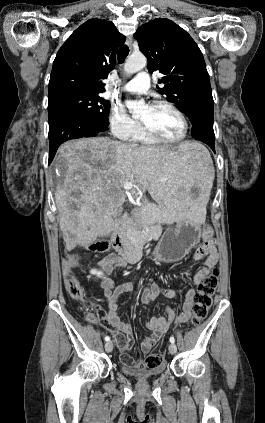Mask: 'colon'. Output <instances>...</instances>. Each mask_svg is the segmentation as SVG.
Wrapping results in <instances>:
<instances>
[{"mask_svg": "<svg viewBox=\"0 0 265 423\" xmlns=\"http://www.w3.org/2000/svg\"><path fill=\"white\" fill-rule=\"evenodd\" d=\"M211 230L208 228L204 232V243L207 245L211 238ZM89 251L95 253H104L110 249L108 240H99L92 243ZM80 268L75 261H70L65 270V287L69 294L75 299L84 300L88 308L87 320L94 322L97 319L104 318L102 310H94V303L86 297L85 288L79 278ZM219 268L214 265L209 274L202 280L198 291L194 297V305L192 308V316L190 324L198 326L208 315L209 308L212 304V297L214 296L218 286ZM164 363V354L161 352L151 353L147 356L141 367L158 368Z\"/></svg>", "mask_w": 265, "mask_h": 423, "instance_id": "obj_1", "label": "colon"}]
</instances>
